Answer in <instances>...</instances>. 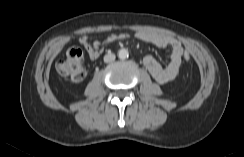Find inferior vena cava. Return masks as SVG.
Returning a JSON list of instances; mask_svg holds the SVG:
<instances>
[{
    "label": "inferior vena cava",
    "mask_w": 244,
    "mask_h": 157,
    "mask_svg": "<svg viewBox=\"0 0 244 157\" xmlns=\"http://www.w3.org/2000/svg\"><path fill=\"white\" fill-rule=\"evenodd\" d=\"M115 58H116L115 55L112 54V53H110V54H106V55L104 56V62H105V63L112 62V61L115 60Z\"/></svg>",
    "instance_id": "1"
}]
</instances>
